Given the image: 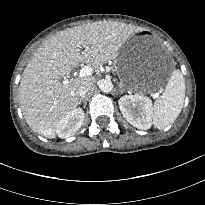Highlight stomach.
Returning <instances> with one entry per match:
<instances>
[{
    "label": "stomach",
    "mask_w": 205,
    "mask_h": 205,
    "mask_svg": "<svg viewBox=\"0 0 205 205\" xmlns=\"http://www.w3.org/2000/svg\"><path fill=\"white\" fill-rule=\"evenodd\" d=\"M116 58L120 76L128 89L153 91L163 84L145 74L147 67L157 66L160 70L168 60L158 39L148 32L128 38Z\"/></svg>",
    "instance_id": "stomach-1"
}]
</instances>
